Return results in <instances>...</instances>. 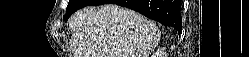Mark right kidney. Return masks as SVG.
<instances>
[{
	"mask_svg": "<svg viewBox=\"0 0 249 57\" xmlns=\"http://www.w3.org/2000/svg\"><path fill=\"white\" fill-rule=\"evenodd\" d=\"M163 53H156L155 57H162Z\"/></svg>",
	"mask_w": 249,
	"mask_h": 57,
	"instance_id": "obj_1",
	"label": "right kidney"
}]
</instances>
